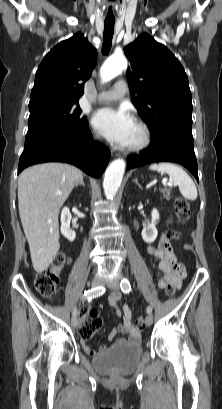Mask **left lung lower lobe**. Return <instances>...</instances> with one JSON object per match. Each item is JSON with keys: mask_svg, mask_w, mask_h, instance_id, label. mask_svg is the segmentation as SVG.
I'll return each mask as SVG.
<instances>
[{"mask_svg": "<svg viewBox=\"0 0 222 409\" xmlns=\"http://www.w3.org/2000/svg\"><path fill=\"white\" fill-rule=\"evenodd\" d=\"M127 169L151 162L170 161L185 166L198 181L191 129L166 126L152 134L150 146L139 156H128Z\"/></svg>", "mask_w": 222, "mask_h": 409, "instance_id": "0a47b994", "label": "left lung lower lobe"}]
</instances>
